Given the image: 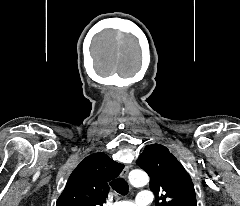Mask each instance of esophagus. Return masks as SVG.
I'll return each mask as SVG.
<instances>
[{"instance_id":"34e87169","label":"esophagus","mask_w":240,"mask_h":206,"mask_svg":"<svg viewBox=\"0 0 240 206\" xmlns=\"http://www.w3.org/2000/svg\"><path fill=\"white\" fill-rule=\"evenodd\" d=\"M128 173H129V167L125 166L122 173H121L122 178H127Z\"/></svg>"}]
</instances>
